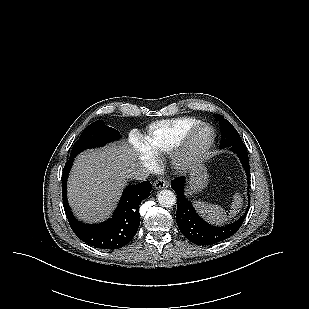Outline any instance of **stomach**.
Here are the masks:
<instances>
[{"label":"stomach","instance_id":"obj_1","mask_svg":"<svg viewBox=\"0 0 309 309\" xmlns=\"http://www.w3.org/2000/svg\"><path fill=\"white\" fill-rule=\"evenodd\" d=\"M208 183L206 167L201 160H196L190 166V177L187 193L189 195L202 191Z\"/></svg>","mask_w":309,"mask_h":309}]
</instances>
